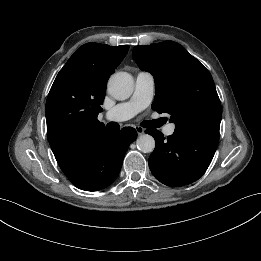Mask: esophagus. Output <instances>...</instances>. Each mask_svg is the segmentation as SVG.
Here are the masks:
<instances>
[{"label": "esophagus", "instance_id": "34e87169", "mask_svg": "<svg viewBox=\"0 0 261 261\" xmlns=\"http://www.w3.org/2000/svg\"><path fill=\"white\" fill-rule=\"evenodd\" d=\"M135 130H136L138 135L144 134V131H145L144 128H142L140 126L135 127Z\"/></svg>", "mask_w": 261, "mask_h": 261}]
</instances>
